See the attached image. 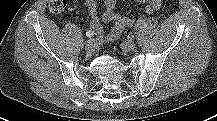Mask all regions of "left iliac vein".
I'll use <instances>...</instances> for the list:
<instances>
[{"instance_id": "left-iliac-vein-1", "label": "left iliac vein", "mask_w": 217, "mask_h": 121, "mask_svg": "<svg viewBox=\"0 0 217 121\" xmlns=\"http://www.w3.org/2000/svg\"><path fill=\"white\" fill-rule=\"evenodd\" d=\"M122 49L124 51H133L135 49V43L132 40H127L122 43Z\"/></svg>"}]
</instances>
